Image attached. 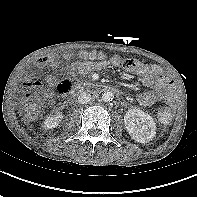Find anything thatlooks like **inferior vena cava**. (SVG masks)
<instances>
[{
  "label": "inferior vena cava",
  "instance_id": "obj_1",
  "mask_svg": "<svg viewBox=\"0 0 197 197\" xmlns=\"http://www.w3.org/2000/svg\"><path fill=\"white\" fill-rule=\"evenodd\" d=\"M91 99H92L91 94L86 93V92H82L78 96V102L80 104H87V103H89L91 101Z\"/></svg>",
  "mask_w": 197,
  "mask_h": 197
}]
</instances>
